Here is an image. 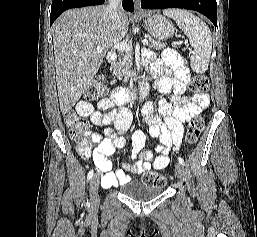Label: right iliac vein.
Instances as JSON below:
<instances>
[{
  "label": "right iliac vein",
  "mask_w": 257,
  "mask_h": 237,
  "mask_svg": "<svg viewBox=\"0 0 257 237\" xmlns=\"http://www.w3.org/2000/svg\"><path fill=\"white\" fill-rule=\"evenodd\" d=\"M99 177L94 175L90 182V196H91V203L93 206L97 205L99 202Z\"/></svg>",
  "instance_id": "right-iliac-vein-1"
}]
</instances>
